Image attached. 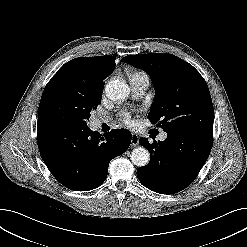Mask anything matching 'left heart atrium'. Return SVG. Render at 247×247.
I'll return each mask as SVG.
<instances>
[{
    "label": "left heart atrium",
    "mask_w": 247,
    "mask_h": 247,
    "mask_svg": "<svg viewBox=\"0 0 247 247\" xmlns=\"http://www.w3.org/2000/svg\"><path fill=\"white\" fill-rule=\"evenodd\" d=\"M122 121H123V123H124L125 125H132V124H133V120H132L130 114H128V113H125V114L123 115Z\"/></svg>",
    "instance_id": "39dd6f15"
}]
</instances>
